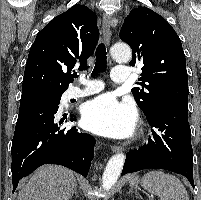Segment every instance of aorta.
I'll return each instance as SVG.
<instances>
[{
  "mask_svg": "<svg viewBox=\"0 0 201 200\" xmlns=\"http://www.w3.org/2000/svg\"><path fill=\"white\" fill-rule=\"evenodd\" d=\"M131 49L124 43L114 44L111 48V56L116 61L128 62L131 59ZM125 162V155L118 153L113 155L108 161L102 177V187L104 190H110L116 183L121 174Z\"/></svg>",
  "mask_w": 201,
  "mask_h": 200,
  "instance_id": "aorta-1",
  "label": "aorta"
}]
</instances>
